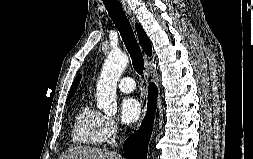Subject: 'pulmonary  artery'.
<instances>
[{"mask_svg": "<svg viewBox=\"0 0 253 159\" xmlns=\"http://www.w3.org/2000/svg\"><path fill=\"white\" fill-rule=\"evenodd\" d=\"M119 89L122 91V92H132L135 87H136V84L134 82V80L130 77H123L120 81H119Z\"/></svg>", "mask_w": 253, "mask_h": 159, "instance_id": "pulmonary-artery-1", "label": "pulmonary artery"}]
</instances>
